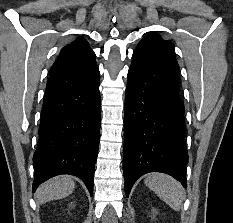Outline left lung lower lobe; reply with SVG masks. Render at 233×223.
<instances>
[{
    "label": "left lung lower lobe",
    "mask_w": 233,
    "mask_h": 223,
    "mask_svg": "<svg viewBox=\"0 0 233 223\" xmlns=\"http://www.w3.org/2000/svg\"><path fill=\"white\" fill-rule=\"evenodd\" d=\"M174 55L142 39L132 56L125 95L123 170L129 196L135 181L149 172L173 176L184 187L188 152Z\"/></svg>",
    "instance_id": "0a47b994"
}]
</instances>
